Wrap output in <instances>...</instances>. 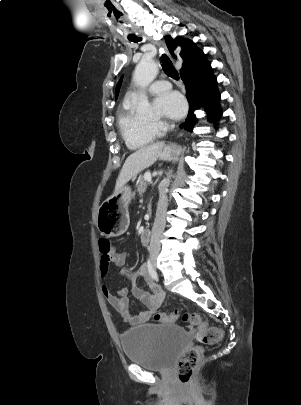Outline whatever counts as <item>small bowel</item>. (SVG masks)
<instances>
[{
    "label": "small bowel",
    "mask_w": 301,
    "mask_h": 405,
    "mask_svg": "<svg viewBox=\"0 0 301 405\" xmlns=\"http://www.w3.org/2000/svg\"><path fill=\"white\" fill-rule=\"evenodd\" d=\"M126 259L127 254L125 252H117L113 248L108 256L102 254L100 262V275L103 281L102 292L110 306L121 314L122 319L125 322L131 325L147 323L160 308L165 294L150 276L146 264H142L135 272H128L123 268ZM112 267L118 268L117 275L120 278L128 279L131 282L132 293L135 297L141 300V302L145 305L146 310L138 315H133L130 313L127 299L128 289L126 287H121L117 290H113L109 283ZM140 277L145 280L146 284L150 288V292L145 291L137 285V280Z\"/></svg>",
    "instance_id": "c3829d8e"
}]
</instances>
